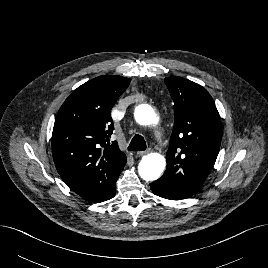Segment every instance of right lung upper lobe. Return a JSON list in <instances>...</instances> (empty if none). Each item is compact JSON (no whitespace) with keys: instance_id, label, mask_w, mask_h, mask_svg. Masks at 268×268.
<instances>
[{"instance_id":"1","label":"right lung upper lobe","mask_w":268,"mask_h":268,"mask_svg":"<svg viewBox=\"0 0 268 268\" xmlns=\"http://www.w3.org/2000/svg\"><path fill=\"white\" fill-rule=\"evenodd\" d=\"M130 78L103 75L75 89L61 106L52 133L56 169L75 193L102 201L127 162L116 141L111 109Z\"/></svg>"}]
</instances>
